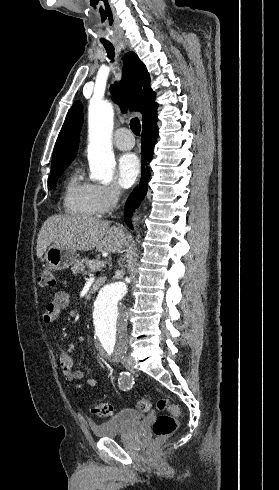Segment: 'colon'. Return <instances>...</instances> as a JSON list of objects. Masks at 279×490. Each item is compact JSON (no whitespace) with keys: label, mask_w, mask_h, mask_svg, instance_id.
<instances>
[{"label":"colon","mask_w":279,"mask_h":490,"mask_svg":"<svg viewBox=\"0 0 279 490\" xmlns=\"http://www.w3.org/2000/svg\"><path fill=\"white\" fill-rule=\"evenodd\" d=\"M40 284L42 286L53 287L55 285V274L51 268H44L40 277ZM157 407L159 415L153 424V433L157 436L158 442H169L170 435H172L177 428V417L180 416V410L172 405L169 398L164 397L158 400ZM137 408L140 411H149L151 408V400L149 398H142L137 402ZM93 414L100 417H109L113 415V406L109 402H96L92 407Z\"/></svg>","instance_id":"5ec220e1"}]
</instances>
